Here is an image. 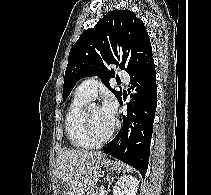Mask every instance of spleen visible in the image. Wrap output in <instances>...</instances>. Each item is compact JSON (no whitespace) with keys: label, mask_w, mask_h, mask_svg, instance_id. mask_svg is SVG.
Instances as JSON below:
<instances>
[{"label":"spleen","mask_w":211,"mask_h":195,"mask_svg":"<svg viewBox=\"0 0 211 195\" xmlns=\"http://www.w3.org/2000/svg\"><path fill=\"white\" fill-rule=\"evenodd\" d=\"M125 170H126L127 172H131V171H132V168H131L130 166H126V167H125Z\"/></svg>","instance_id":"spleen-1"}]
</instances>
